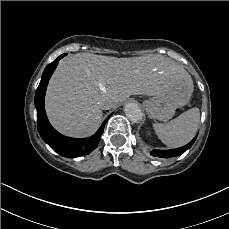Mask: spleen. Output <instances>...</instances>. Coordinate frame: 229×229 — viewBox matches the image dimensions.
I'll list each match as a JSON object with an SVG mask.
<instances>
[{"instance_id": "1", "label": "spleen", "mask_w": 229, "mask_h": 229, "mask_svg": "<svg viewBox=\"0 0 229 229\" xmlns=\"http://www.w3.org/2000/svg\"><path fill=\"white\" fill-rule=\"evenodd\" d=\"M200 113L192 108L166 123H153L157 137L168 147H179L192 140L199 126Z\"/></svg>"}]
</instances>
